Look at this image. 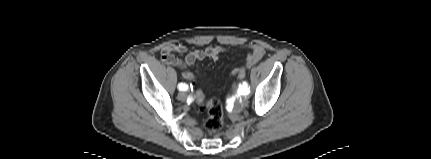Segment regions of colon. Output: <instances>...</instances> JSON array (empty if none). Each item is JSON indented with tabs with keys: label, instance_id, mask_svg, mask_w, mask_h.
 <instances>
[{
	"label": "colon",
	"instance_id": "5ec220e1",
	"mask_svg": "<svg viewBox=\"0 0 431 159\" xmlns=\"http://www.w3.org/2000/svg\"><path fill=\"white\" fill-rule=\"evenodd\" d=\"M180 75L184 80L189 83H194L197 77L194 73L183 69ZM236 81L239 83L247 78V74L243 70L237 71ZM193 96L197 102H200L207 110V116L204 119V127L210 133H216L220 131L223 127V108L220 100L218 98H211L205 101L203 97V92L201 90H194Z\"/></svg>",
	"mask_w": 431,
	"mask_h": 159
}]
</instances>
